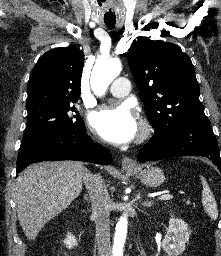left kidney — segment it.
<instances>
[{"label":"left kidney","mask_w":221,"mask_h":256,"mask_svg":"<svg viewBox=\"0 0 221 256\" xmlns=\"http://www.w3.org/2000/svg\"><path fill=\"white\" fill-rule=\"evenodd\" d=\"M189 240L188 226L182 219L171 216L167 234L162 241L163 250L168 256H179L185 250Z\"/></svg>","instance_id":"obj_1"}]
</instances>
